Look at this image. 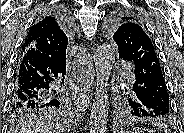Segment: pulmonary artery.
<instances>
[{
	"label": "pulmonary artery",
	"instance_id": "e3ab8cb5",
	"mask_svg": "<svg viewBox=\"0 0 184 133\" xmlns=\"http://www.w3.org/2000/svg\"><path fill=\"white\" fill-rule=\"evenodd\" d=\"M118 67L119 68H129V66L127 64H119ZM128 78H129L130 81H132L133 80V74L129 73Z\"/></svg>",
	"mask_w": 184,
	"mask_h": 133
}]
</instances>
